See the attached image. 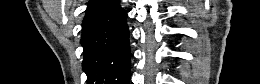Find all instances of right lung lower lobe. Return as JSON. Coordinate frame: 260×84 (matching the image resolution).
I'll list each match as a JSON object with an SVG mask.
<instances>
[{"label":"right lung lower lobe","instance_id":"right-lung-lower-lobe-1","mask_svg":"<svg viewBox=\"0 0 260 84\" xmlns=\"http://www.w3.org/2000/svg\"><path fill=\"white\" fill-rule=\"evenodd\" d=\"M126 12L118 0H91L82 22L83 70L88 84H129Z\"/></svg>","mask_w":260,"mask_h":84}]
</instances>
